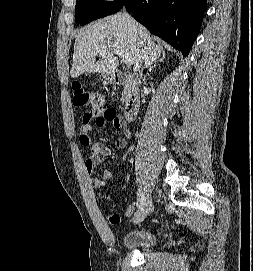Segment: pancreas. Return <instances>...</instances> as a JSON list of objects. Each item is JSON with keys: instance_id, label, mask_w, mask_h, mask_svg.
<instances>
[{"instance_id": "obj_1", "label": "pancreas", "mask_w": 253, "mask_h": 271, "mask_svg": "<svg viewBox=\"0 0 253 271\" xmlns=\"http://www.w3.org/2000/svg\"><path fill=\"white\" fill-rule=\"evenodd\" d=\"M121 100H122V103H125L126 102V100H127V97H126V92L124 91L123 92V94H122V98H121Z\"/></svg>"}]
</instances>
